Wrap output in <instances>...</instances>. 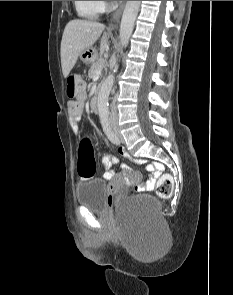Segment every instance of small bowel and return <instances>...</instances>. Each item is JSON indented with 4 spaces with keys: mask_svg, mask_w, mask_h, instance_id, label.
<instances>
[{
    "mask_svg": "<svg viewBox=\"0 0 233 295\" xmlns=\"http://www.w3.org/2000/svg\"><path fill=\"white\" fill-rule=\"evenodd\" d=\"M69 121L74 131H77V124L81 120L83 114H84V100H76L69 102ZM122 152V150H120ZM119 161L116 157L109 155L107 153H104L103 155V163H104V169L102 172V176L106 180H111L114 175L115 171L112 169L113 164H117ZM120 169L122 172H128L130 169L128 166L121 164ZM163 170V165L159 162H149L147 164V171L149 172V180L147 183L140 187V191H149L152 190L157 178L160 176L161 172Z\"/></svg>",
    "mask_w": 233,
    "mask_h": 295,
    "instance_id": "small-bowel-1",
    "label": "small bowel"
}]
</instances>
